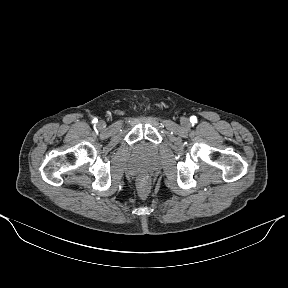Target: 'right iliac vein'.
Instances as JSON below:
<instances>
[{"label":"right iliac vein","instance_id":"63e3f726","mask_svg":"<svg viewBox=\"0 0 288 288\" xmlns=\"http://www.w3.org/2000/svg\"><path fill=\"white\" fill-rule=\"evenodd\" d=\"M105 126H106V123H105V121H103V120H100L98 123H97V128L98 129H104L105 128Z\"/></svg>","mask_w":288,"mask_h":288}]
</instances>
